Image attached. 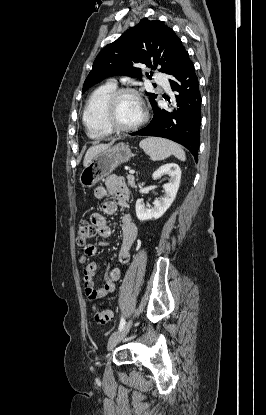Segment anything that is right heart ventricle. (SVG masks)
Instances as JSON below:
<instances>
[{
    "instance_id": "right-heart-ventricle-1",
    "label": "right heart ventricle",
    "mask_w": 266,
    "mask_h": 415,
    "mask_svg": "<svg viewBox=\"0 0 266 415\" xmlns=\"http://www.w3.org/2000/svg\"><path fill=\"white\" fill-rule=\"evenodd\" d=\"M116 90L114 83L98 87L89 97L83 112V122L87 135L100 140L112 134L113 130L105 120V104L109 96Z\"/></svg>"
}]
</instances>
